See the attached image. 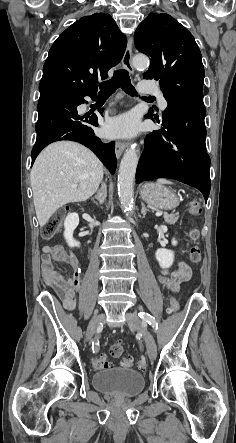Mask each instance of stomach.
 <instances>
[{"label": "stomach", "mask_w": 236, "mask_h": 443, "mask_svg": "<svg viewBox=\"0 0 236 443\" xmlns=\"http://www.w3.org/2000/svg\"><path fill=\"white\" fill-rule=\"evenodd\" d=\"M140 195L147 204L157 209L171 210L179 205L176 194L160 183H145Z\"/></svg>", "instance_id": "1"}]
</instances>
